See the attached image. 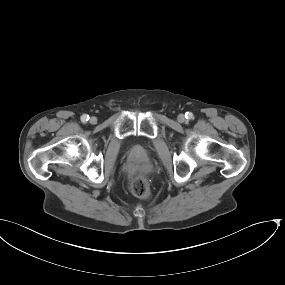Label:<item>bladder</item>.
<instances>
[{
    "mask_svg": "<svg viewBox=\"0 0 285 285\" xmlns=\"http://www.w3.org/2000/svg\"><path fill=\"white\" fill-rule=\"evenodd\" d=\"M130 149L132 153L138 156H144L147 154V151H148V148L146 145L142 143H135V142L130 145Z\"/></svg>",
    "mask_w": 285,
    "mask_h": 285,
    "instance_id": "31cf9c89",
    "label": "bladder"
}]
</instances>
